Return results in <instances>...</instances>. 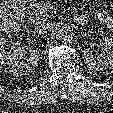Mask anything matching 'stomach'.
<instances>
[{
    "instance_id": "obj_1",
    "label": "stomach",
    "mask_w": 113,
    "mask_h": 113,
    "mask_svg": "<svg viewBox=\"0 0 113 113\" xmlns=\"http://www.w3.org/2000/svg\"><path fill=\"white\" fill-rule=\"evenodd\" d=\"M22 2H28V1H30V0H21Z\"/></svg>"
}]
</instances>
